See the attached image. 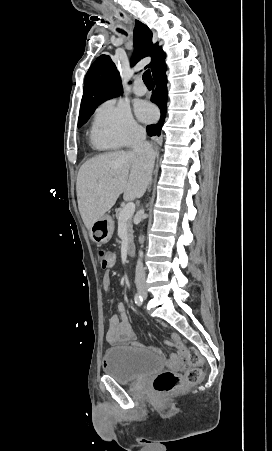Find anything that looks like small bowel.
I'll return each mask as SVG.
<instances>
[{
  "label": "small bowel",
  "mask_w": 272,
  "mask_h": 451,
  "mask_svg": "<svg viewBox=\"0 0 272 451\" xmlns=\"http://www.w3.org/2000/svg\"><path fill=\"white\" fill-rule=\"evenodd\" d=\"M102 283L105 289L109 288L111 284V277L108 271L104 273ZM116 310L117 313L109 320V328L105 336L106 341L111 345L129 344L134 347H142V344L138 341L136 333L131 326L125 304L122 302L118 303ZM168 344L174 348L185 347L181 336L176 332L170 334V342H168ZM150 349L159 355L162 354V351L158 347L154 346L150 347Z\"/></svg>",
  "instance_id": "c3829d8e"
}]
</instances>
